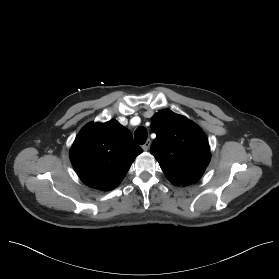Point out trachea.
I'll list each match as a JSON object with an SVG mask.
<instances>
[{
	"label": "trachea",
	"mask_w": 279,
	"mask_h": 279,
	"mask_svg": "<svg viewBox=\"0 0 279 279\" xmlns=\"http://www.w3.org/2000/svg\"><path fill=\"white\" fill-rule=\"evenodd\" d=\"M135 141L142 145L147 140V130L144 127H139L134 132Z\"/></svg>",
	"instance_id": "3493384b"
}]
</instances>
